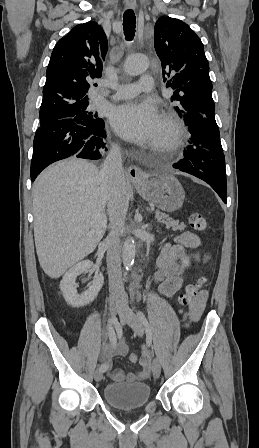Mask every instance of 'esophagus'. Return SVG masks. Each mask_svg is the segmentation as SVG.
I'll list each match as a JSON object with an SVG mask.
<instances>
[{
  "mask_svg": "<svg viewBox=\"0 0 259 448\" xmlns=\"http://www.w3.org/2000/svg\"><path fill=\"white\" fill-rule=\"evenodd\" d=\"M126 5L128 8L134 9L136 7V0H126ZM128 173L134 184L140 183L144 176V172L136 165H131L128 168Z\"/></svg>",
  "mask_w": 259,
  "mask_h": 448,
  "instance_id": "1",
  "label": "esophagus"
}]
</instances>
